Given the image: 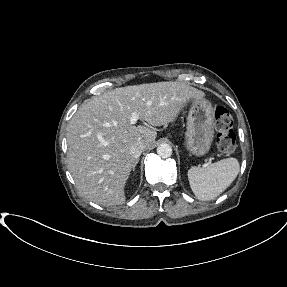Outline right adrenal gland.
<instances>
[{
    "instance_id": "1",
    "label": "right adrenal gland",
    "mask_w": 287,
    "mask_h": 287,
    "mask_svg": "<svg viewBox=\"0 0 287 287\" xmlns=\"http://www.w3.org/2000/svg\"><path fill=\"white\" fill-rule=\"evenodd\" d=\"M139 159L134 160L133 164H132V170H135V166L137 165Z\"/></svg>"
}]
</instances>
